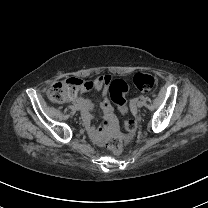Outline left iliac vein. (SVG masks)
Wrapping results in <instances>:
<instances>
[{"label": "left iliac vein", "instance_id": "1", "mask_svg": "<svg viewBox=\"0 0 208 208\" xmlns=\"http://www.w3.org/2000/svg\"><path fill=\"white\" fill-rule=\"evenodd\" d=\"M143 105H144V101L140 100V101L137 102V107L138 108L143 107Z\"/></svg>", "mask_w": 208, "mask_h": 208}]
</instances>
